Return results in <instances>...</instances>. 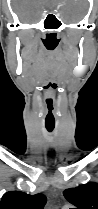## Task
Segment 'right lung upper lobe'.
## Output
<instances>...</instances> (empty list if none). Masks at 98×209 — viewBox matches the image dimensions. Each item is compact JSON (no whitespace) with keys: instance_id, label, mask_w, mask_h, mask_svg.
<instances>
[{"instance_id":"cb5924a9","label":"right lung upper lobe","mask_w":98,"mask_h":209,"mask_svg":"<svg viewBox=\"0 0 98 209\" xmlns=\"http://www.w3.org/2000/svg\"><path fill=\"white\" fill-rule=\"evenodd\" d=\"M46 196L43 194L28 195L20 191H10L3 195L0 209H43Z\"/></svg>"}]
</instances>
